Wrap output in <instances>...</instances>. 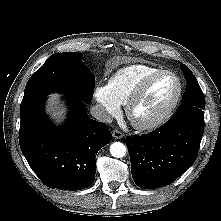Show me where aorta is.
<instances>
[{"instance_id": "762f6f07", "label": "aorta", "mask_w": 221, "mask_h": 221, "mask_svg": "<svg viewBox=\"0 0 221 221\" xmlns=\"http://www.w3.org/2000/svg\"><path fill=\"white\" fill-rule=\"evenodd\" d=\"M127 148L121 142H114L110 146V153L115 158H122L126 155Z\"/></svg>"}]
</instances>
